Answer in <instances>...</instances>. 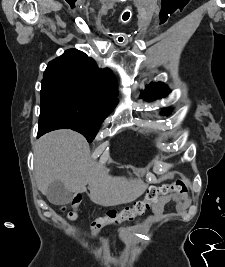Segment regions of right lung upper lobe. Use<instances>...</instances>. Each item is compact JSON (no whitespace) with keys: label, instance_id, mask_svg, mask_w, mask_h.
<instances>
[{"label":"right lung upper lobe","instance_id":"right-lung-upper-lobe-1","mask_svg":"<svg viewBox=\"0 0 225 267\" xmlns=\"http://www.w3.org/2000/svg\"><path fill=\"white\" fill-rule=\"evenodd\" d=\"M62 81L83 87L98 101L111 107L117 105V80L108 68L99 69L85 53L69 49L49 62L42 82Z\"/></svg>","mask_w":225,"mask_h":267}]
</instances>
